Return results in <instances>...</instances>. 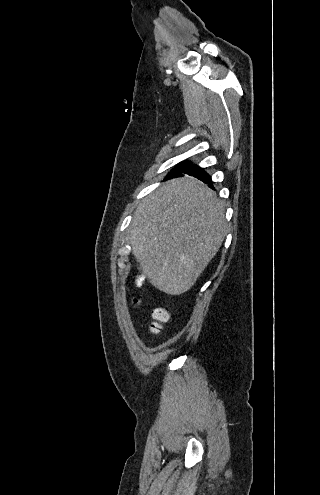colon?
I'll return each mask as SVG.
<instances>
[{
    "label": "colon",
    "instance_id": "5ec220e1",
    "mask_svg": "<svg viewBox=\"0 0 320 495\" xmlns=\"http://www.w3.org/2000/svg\"><path fill=\"white\" fill-rule=\"evenodd\" d=\"M138 300L135 298L133 304H137ZM154 322L151 325V329L154 333H158L161 329V323L166 322L169 318V314L165 309L158 308L153 313Z\"/></svg>",
    "mask_w": 320,
    "mask_h": 495
}]
</instances>
